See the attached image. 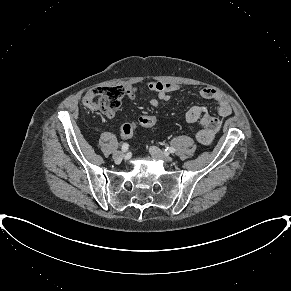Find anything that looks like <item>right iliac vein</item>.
Wrapping results in <instances>:
<instances>
[{
    "instance_id": "63e3f726",
    "label": "right iliac vein",
    "mask_w": 291,
    "mask_h": 291,
    "mask_svg": "<svg viewBox=\"0 0 291 291\" xmlns=\"http://www.w3.org/2000/svg\"><path fill=\"white\" fill-rule=\"evenodd\" d=\"M124 152L123 151H116L113 153V159L115 161H121L124 157Z\"/></svg>"
}]
</instances>
